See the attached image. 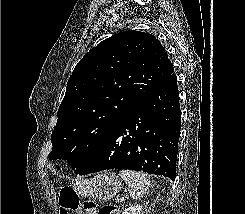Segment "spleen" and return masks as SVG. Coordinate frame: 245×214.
<instances>
[{
  "label": "spleen",
  "mask_w": 245,
  "mask_h": 214,
  "mask_svg": "<svg viewBox=\"0 0 245 214\" xmlns=\"http://www.w3.org/2000/svg\"><path fill=\"white\" fill-rule=\"evenodd\" d=\"M119 175L129 186V194L132 199L140 200L146 194L150 179L146 173L132 170H121Z\"/></svg>",
  "instance_id": "3e777b00"
}]
</instances>
